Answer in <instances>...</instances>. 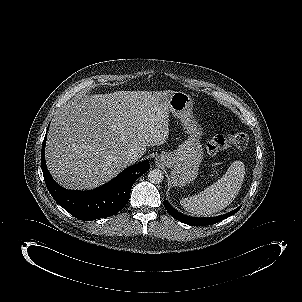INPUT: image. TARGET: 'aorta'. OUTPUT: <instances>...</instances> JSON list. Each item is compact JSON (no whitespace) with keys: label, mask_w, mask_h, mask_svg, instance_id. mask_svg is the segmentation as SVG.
<instances>
[{"label":"aorta","mask_w":302,"mask_h":302,"mask_svg":"<svg viewBox=\"0 0 302 302\" xmlns=\"http://www.w3.org/2000/svg\"><path fill=\"white\" fill-rule=\"evenodd\" d=\"M164 174L160 169H151L148 172V180L153 184H159L163 181Z\"/></svg>","instance_id":"aorta-1"}]
</instances>
